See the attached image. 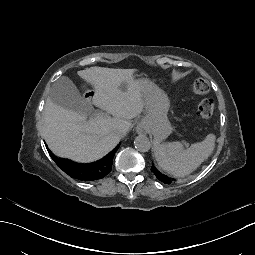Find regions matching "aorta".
Listing matches in <instances>:
<instances>
[{"mask_svg":"<svg viewBox=\"0 0 255 255\" xmlns=\"http://www.w3.org/2000/svg\"><path fill=\"white\" fill-rule=\"evenodd\" d=\"M134 146L139 152H148L151 147L150 140L145 135H139L134 140Z\"/></svg>","mask_w":255,"mask_h":255,"instance_id":"1","label":"aorta"}]
</instances>
